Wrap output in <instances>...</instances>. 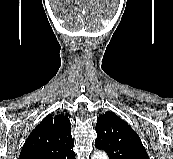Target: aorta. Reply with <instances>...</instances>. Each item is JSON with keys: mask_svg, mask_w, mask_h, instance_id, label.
Masks as SVG:
<instances>
[{"mask_svg": "<svg viewBox=\"0 0 173 159\" xmlns=\"http://www.w3.org/2000/svg\"><path fill=\"white\" fill-rule=\"evenodd\" d=\"M92 159H109L107 154L104 151H96L94 152Z\"/></svg>", "mask_w": 173, "mask_h": 159, "instance_id": "762f6f07", "label": "aorta"}]
</instances>
